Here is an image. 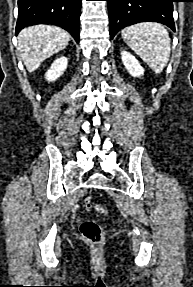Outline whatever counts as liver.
Segmentation results:
<instances>
[{"label":"liver","instance_id":"obj_1","mask_svg":"<svg viewBox=\"0 0 193 287\" xmlns=\"http://www.w3.org/2000/svg\"><path fill=\"white\" fill-rule=\"evenodd\" d=\"M70 41V34L56 26L35 25L23 29L18 35L21 59L29 72L42 62L62 51Z\"/></svg>","mask_w":193,"mask_h":287}]
</instances>
